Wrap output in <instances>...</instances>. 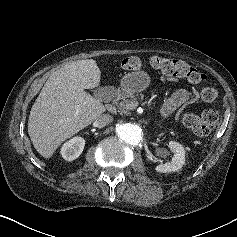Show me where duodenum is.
Listing matches in <instances>:
<instances>
[{
  "label": "duodenum",
  "mask_w": 237,
  "mask_h": 237,
  "mask_svg": "<svg viewBox=\"0 0 237 237\" xmlns=\"http://www.w3.org/2000/svg\"><path fill=\"white\" fill-rule=\"evenodd\" d=\"M121 97V94L118 92L117 94H116V99H119Z\"/></svg>",
  "instance_id": "duodenum-1"
}]
</instances>
